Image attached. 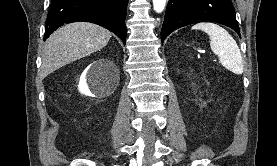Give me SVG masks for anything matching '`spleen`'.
<instances>
[{
	"label": "spleen",
	"mask_w": 277,
	"mask_h": 166,
	"mask_svg": "<svg viewBox=\"0 0 277 166\" xmlns=\"http://www.w3.org/2000/svg\"><path fill=\"white\" fill-rule=\"evenodd\" d=\"M192 30H202L210 37V47L219 56L220 63L235 74L243 72L242 55L233 37L221 26L212 22L197 23Z\"/></svg>",
	"instance_id": "3e777b00"
}]
</instances>
